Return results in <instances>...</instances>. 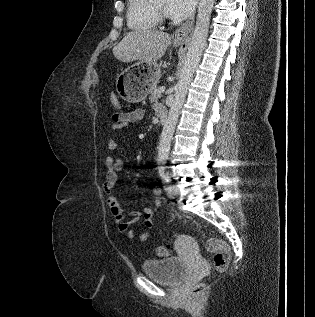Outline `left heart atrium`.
I'll list each match as a JSON object with an SVG mask.
<instances>
[{"mask_svg": "<svg viewBox=\"0 0 315 317\" xmlns=\"http://www.w3.org/2000/svg\"><path fill=\"white\" fill-rule=\"evenodd\" d=\"M196 0H167L165 11L174 18H185L194 9Z\"/></svg>", "mask_w": 315, "mask_h": 317, "instance_id": "left-heart-atrium-1", "label": "left heart atrium"}]
</instances>
